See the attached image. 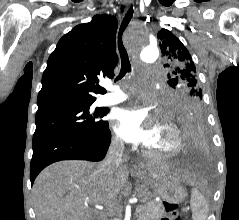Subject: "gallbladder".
Returning <instances> with one entry per match:
<instances>
[{"mask_svg":"<svg viewBox=\"0 0 239 220\" xmlns=\"http://www.w3.org/2000/svg\"><path fill=\"white\" fill-rule=\"evenodd\" d=\"M90 220H97V219L94 215H92Z\"/></svg>","mask_w":239,"mask_h":220,"instance_id":"gallbladder-1","label":"gallbladder"}]
</instances>
